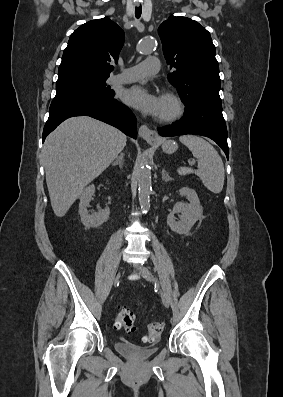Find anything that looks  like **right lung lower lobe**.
<instances>
[{
  "instance_id": "98d812e1",
  "label": "right lung lower lobe",
  "mask_w": 283,
  "mask_h": 397,
  "mask_svg": "<svg viewBox=\"0 0 283 397\" xmlns=\"http://www.w3.org/2000/svg\"><path fill=\"white\" fill-rule=\"evenodd\" d=\"M83 115L108 123L134 139L137 137L136 118L114 96L76 91L54 97L43 130V141L65 119Z\"/></svg>"
}]
</instances>
